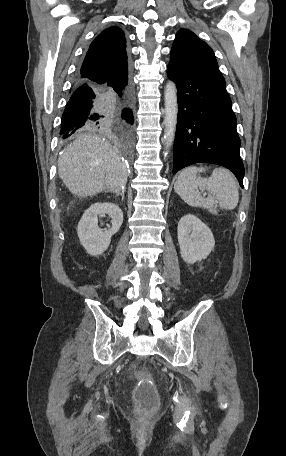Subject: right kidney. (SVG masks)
Returning a JSON list of instances; mask_svg holds the SVG:
<instances>
[{
    "mask_svg": "<svg viewBox=\"0 0 286 456\" xmlns=\"http://www.w3.org/2000/svg\"><path fill=\"white\" fill-rule=\"evenodd\" d=\"M108 215L112 227L102 231L98 227V216ZM123 223V212L114 203H95L83 214L79 221L77 234L81 245L88 254L97 256L107 250L112 235L116 234Z\"/></svg>",
    "mask_w": 286,
    "mask_h": 456,
    "instance_id": "ca27d5eb",
    "label": "right kidney"
}]
</instances>
